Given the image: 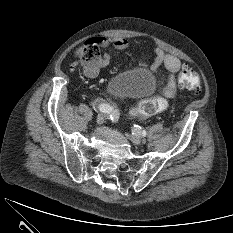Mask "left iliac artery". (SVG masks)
I'll use <instances>...</instances> for the list:
<instances>
[{"label":"left iliac artery","mask_w":233,"mask_h":233,"mask_svg":"<svg viewBox=\"0 0 233 233\" xmlns=\"http://www.w3.org/2000/svg\"><path fill=\"white\" fill-rule=\"evenodd\" d=\"M136 133H138L139 135L142 136H146L147 132L145 130H143L140 126L138 125H134V129H133Z\"/></svg>","instance_id":"44dca946"}]
</instances>
